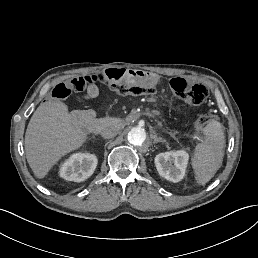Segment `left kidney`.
I'll use <instances>...</instances> for the list:
<instances>
[{
    "mask_svg": "<svg viewBox=\"0 0 258 258\" xmlns=\"http://www.w3.org/2000/svg\"><path fill=\"white\" fill-rule=\"evenodd\" d=\"M188 160L189 154L184 150L169 151L156 155L155 165L161 177L177 183L185 176Z\"/></svg>",
    "mask_w": 258,
    "mask_h": 258,
    "instance_id": "1",
    "label": "left kidney"
}]
</instances>
